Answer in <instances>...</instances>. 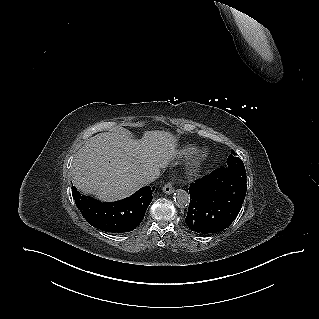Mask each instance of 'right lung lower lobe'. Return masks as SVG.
<instances>
[{"label":"right lung lower lobe","instance_id":"right-lung-lower-lobe-1","mask_svg":"<svg viewBox=\"0 0 319 319\" xmlns=\"http://www.w3.org/2000/svg\"><path fill=\"white\" fill-rule=\"evenodd\" d=\"M153 189L143 187L130 197L112 203L83 196L75 187L72 192L78 209L89 224L105 232L124 233L134 230L143 220L153 198Z\"/></svg>","mask_w":319,"mask_h":319}]
</instances>
